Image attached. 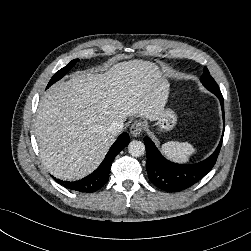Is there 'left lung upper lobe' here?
<instances>
[{"mask_svg":"<svg viewBox=\"0 0 251 251\" xmlns=\"http://www.w3.org/2000/svg\"><path fill=\"white\" fill-rule=\"evenodd\" d=\"M202 84L207 88L209 91H220L217 83L210 75L208 69L204 68V73L200 78Z\"/></svg>","mask_w":251,"mask_h":251,"instance_id":"left-lung-upper-lobe-1","label":"left lung upper lobe"}]
</instances>
